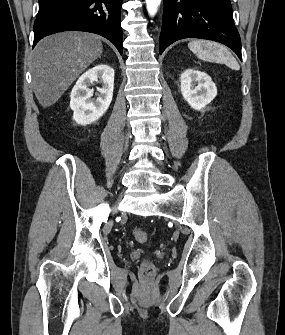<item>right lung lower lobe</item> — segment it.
<instances>
[{
  "label": "right lung lower lobe",
  "instance_id": "obj_1",
  "mask_svg": "<svg viewBox=\"0 0 285 335\" xmlns=\"http://www.w3.org/2000/svg\"><path fill=\"white\" fill-rule=\"evenodd\" d=\"M123 0H39L33 47L43 37L62 31H85L110 40L120 54Z\"/></svg>",
  "mask_w": 285,
  "mask_h": 335
}]
</instances>
